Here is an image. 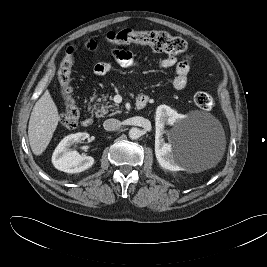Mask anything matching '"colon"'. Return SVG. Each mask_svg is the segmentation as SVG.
Segmentation results:
<instances>
[{
    "mask_svg": "<svg viewBox=\"0 0 267 267\" xmlns=\"http://www.w3.org/2000/svg\"><path fill=\"white\" fill-rule=\"evenodd\" d=\"M106 41L114 44L139 43L150 46L158 52H165L171 56L186 52L187 43L180 37H175L163 30L136 31L124 29L118 32H110ZM75 50L67 49V54L61 62L58 71V81L64 100V112L61 115V124L66 129H73L79 120V109L72 96L71 74L74 64ZM194 102L202 110H210L214 106L213 96L205 91L195 94Z\"/></svg>",
    "mask_w": 267,
    "mask_h": 267,
    "instance_id": "1",
    "label": "colon"
}]
</instances>
